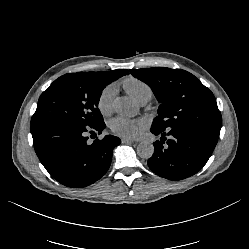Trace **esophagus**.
<instances>
[{
  "instance_id": "obj_1",
  "label": "esophagus",
  "mask_w": 249,
  "mask_h": 249,
  "mask_svg": "<svg viewBox=\"0 0 249 249\" xmlns=\"http://www.w3.org/2000/svg\"><path fill=\"white\" fill-rule=\"evenodd\" d=\"M121 141H122V143H132L133 142L132 139L126 138V137L122 138Z\"/></svg>"
}]
</instances>
